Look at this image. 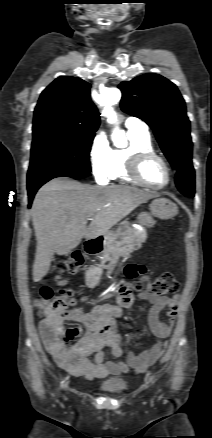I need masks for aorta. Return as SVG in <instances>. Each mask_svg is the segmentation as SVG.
<instances>
[{
    "label": "aorta",
    "instance_id": "1",
    "mask_svg": "<svg viewBox=\"0 0 212 438\" xmlns=\"http://www.w3.org/2000/svg\"><path fill=\"white\" fill-rule=\"evenodd\" d=\"M121 92L115 87H109L101 90L99 103L104 107L103 113L107 116V122L116 125L112 132V141L117 147H124L127 143L124 131L120 130L117 122V114L113 105L119 102Z\"/></svg>",
    "mask_w": 212,
    "mask_h": 438
}]
</instances>
